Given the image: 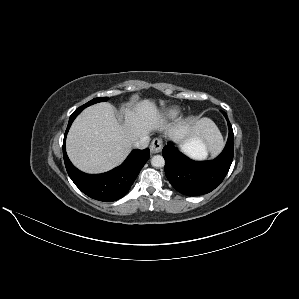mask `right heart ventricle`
<instances>
[{"mask_svg": "<svg viewBox=\"0 0 299 299\" xmlns=\"http://www.w3.org/2000/svg\"><path fill=\"white\" fill-rule=\"evenodd\" d=\"M165 115L168 117H176L179 114L178 108H168L165 110Z\"/></svg>", "mask_w": 299, "mask_h": 299, "instance_id": "right-heart-ventricle-1", "label": "right heart ventricle"}]
</instances>
